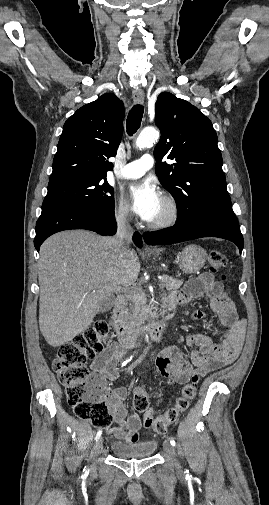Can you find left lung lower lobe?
<instances>
[{"label": "left lung lower lobe", "instance_id": "1", "mask_svg": "<svg viewBox=\"0 0 269 505\" xmlns=\"http://www.w3.org/2000/svg\"><path fill=\"white\" fill-rule=\"evenodd\" d=\"M201 237L224 238L235 243L240 253L243 250L244 241L239 223L230 208L211 209L191 223H176L172 227L143 235L144 241L149 245L172 244Z\"/></svg>", "mask_w": 269, "mask_h": 505}]
</instances>
